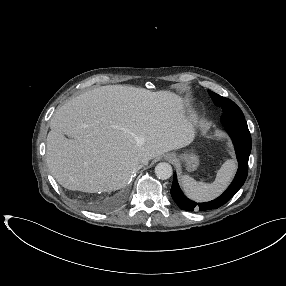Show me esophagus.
Listing matches in <instances>:
<instances>
[{"mask_svg":"<svg viewBox=\"0 0 286 286\" xmlns=\"http://www.w3.org/2000/svg\"><path fill=\"white\" fill-rule=\"evenodd\" d=\"M174 158H175L174 154H170L169 157H168L169 160H173Z\"/></svg>","mask_w":286,"mask_h":286,"instance_id":"34e87169","label":"esophagus"}]
</instances>
